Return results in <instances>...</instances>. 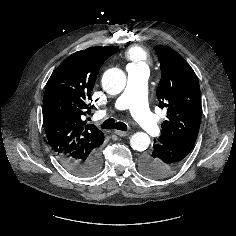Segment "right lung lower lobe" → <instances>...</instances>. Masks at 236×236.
I'll return each mask as SVG.
<instances>
[{"instance_id": "obj_1", "label": "right lung lower lobe", "mask_w": 236, "mask_h": 236, "mask_svg": "<svg viewBox=\"0 0 236 236\" xmlns=\"http://www.w3.org/2000/svg\"><path fill=\"white\" fill-rule=\"evenodd\" d=\"M61 162L65 168L77 176H92L97 173L102 166V154L100 149H97L92 152L86 160L73 161L69 159L61 160Z\"/></svg>"}]
</instances>
